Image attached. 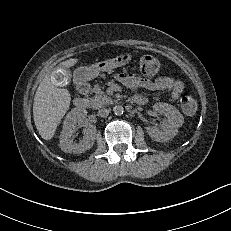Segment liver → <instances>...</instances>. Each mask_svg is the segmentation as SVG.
Instances as JSON below:
<instances>
[{"instance_id": "6515ba94", "label": "liver", "mask_w": 231, "mask_h": 231, "mask_svg": "<svg viewBox=\"0 0 231 231\" xmlns=\"http://www.w3.org/2000/svg\"><path fill=\"white\" fill-rule=\"evenodd\" d=\"M78 62L72 58L61 63L62 67L70 68ZM71 101L67 89L58 88L52 78L45 76L40 82L34 97L33 117L36 128L44 140H50L61 119L67 112Z\"/></svg>"}]
</instances>
